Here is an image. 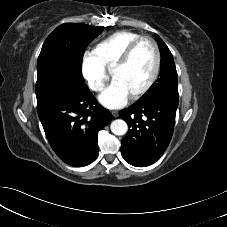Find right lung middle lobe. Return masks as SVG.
<instances>
[{
  "instance_id": "dd1d6c3e",
  "label": "right lung middle lobe",
  "mask_w": 227,
  "mask_h": 227,
  "mask_svg": "<svg viewBox=\"0 0 227 227\" xmlns=\"http://www.w3.org/2000/svg\"><path fill=\"white\" fill-rule=\"evenodd\" d=\"M104 30L103 26L65 23L45 40L37 62L36 95L60 80L84 83L81 72L84 51Z\"/></svg>"
}]
</instances>
